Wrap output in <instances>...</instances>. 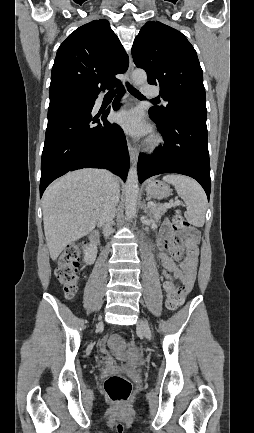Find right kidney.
<instances>
[{"mask_svg": "<svg viewBox=\"0 0 254 433\" xmlns=\"http://www.w3.org/2000/svg\"><path fill=\"white\" fill-rule=\"evenodd\" d=\"M97 255V247L93 244L86 245L84 249V260L87 264L91 265L94 263Z\"/></svg>", "mask_w": 254, "mask_h": 433, "instance_id": "1", "label": "right kidney"}]
</instances>
